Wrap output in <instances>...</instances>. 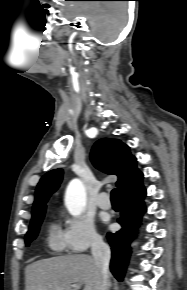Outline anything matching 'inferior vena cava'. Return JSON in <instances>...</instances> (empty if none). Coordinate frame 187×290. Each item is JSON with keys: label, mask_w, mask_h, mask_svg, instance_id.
<instances>
[{"label": "inferior vena cava", "mask_w": 187, "mask_h": 290, "mask_svg": "<svg viewBox=\"0 0 187 290\" xmlns=\"http://www.w3.org/2000/svg\"><path fill=\"white\" fill-rule=\"evenodd\" d=\"M91 252L103 278V290H106L109 278L110 248L102 237H95L91 245Z\"/></svg>", "instance_id": "obj_1"}]
</instances>
